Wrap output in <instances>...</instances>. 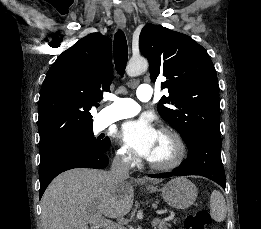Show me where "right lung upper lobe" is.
<instances>
[{
    "label": "right lung upper lobe",
    "instance_id": "cb5924a9",
    "mask_svg": "<svg viewBox=\"0 0 261 229\" xmlns=\"http://www.w3.org/2000/svg\"><path fill=\"white\" fill-rule=\"evenodd\" d=\"M111 42L100 33L80 39L46 74L38 102L39 150L67 143L93 130L89 112L110 92Z\"/></svg>",
    "mask_w": 261,
    "mask_h": 229
}]
</instances>
